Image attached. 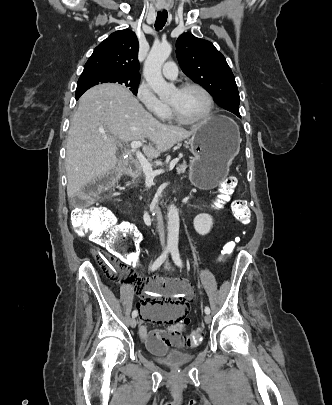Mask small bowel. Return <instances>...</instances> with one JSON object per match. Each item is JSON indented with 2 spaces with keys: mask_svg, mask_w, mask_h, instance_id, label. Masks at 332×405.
<instances>
[{
  "mask_svg": "<svg viewBox=\"0 0 332 405\" xmlns=\"http://www.w3.org/2000/svg\"><path fill=\"white\" fill-rule=\"evenodd\" d=\"M131 279L129 276L127 280ZM190 296L191 289L184 281L158 278L142 285L139 311L143 323L139 332L147 349L172 353L178 347V351H183L186 339L182 337L188 325H182L180 320L186 316L188 306L194 303ZM146 322H163L166 329L150 330Z\"/></svg>",
  "mask_w": 332,
  "mask_h": 405,
  "instance_id": "obj_1",
  "label": "small bowel"
}]
</instances>
